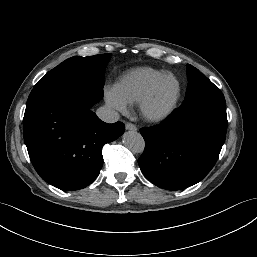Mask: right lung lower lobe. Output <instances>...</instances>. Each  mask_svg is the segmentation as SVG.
<instances>
[{"instance_id":"1","label":"right lung lower lobe","mask_w":257,"mask_h":257,"mask_svg":"<svg viewBox=\"0 0 257 257\" xmlns=\"http://www.w3.org/2000/svg\"><path fill=\"white\" fill-rule=\"evenodd\" d=\"M96 87L70 80L34 88L23 119L24 141L37 173L65 191L91 184L103 165L102 147L124 133L91 111L102 99Z\"/></svg>"}]
</instances>
